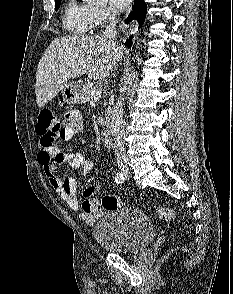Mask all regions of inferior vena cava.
<instances>
[{
	"mask_svg": "<svg viewBox=\"0 0 233 294\" xmlns=\"http://www.w3.org/2000/svg\"><path fill=\"white\" fill-rule=\"evenodd\" d=\"M118 15V11L115 9L111 10V15H110V23L107 25L105 31L103 32V37L105 39H108L114 43L116 42V16ZM124 127H122L119 132L115 136V155L117 159V163L119 165L127 164L128 159L126 156V149H125V141H124Z\"/></svg>",
	"mask_w": 233,
	"mask_h": 294,
	"instance_id": "602c4592",
	"label": "inferior vena cava"
}]
</instances>
